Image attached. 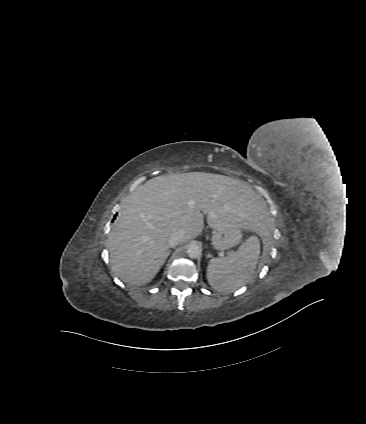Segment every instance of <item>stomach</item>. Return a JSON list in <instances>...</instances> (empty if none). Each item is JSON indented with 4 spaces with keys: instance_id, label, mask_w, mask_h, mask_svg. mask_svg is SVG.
<instances>
[{
    "instance_id": "0dacf381",
    "label": "stomach",
    "mask_w": 366,
    "mask_h": 424,
    "mask_svg": "<svg viewBox=\"0 0 366 424\" xmlns=\"http://www.w3.org/2000/svg\"><path fill=\"white\" fill-rule=\"evenodd\" d=\"M242 238L241 227L233 225L231 228L217 229L213 232L211 244L216 250H226L237 245Z\"/></svg>"
}]
</instances>
